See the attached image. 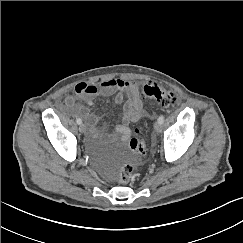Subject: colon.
<instances>
[{
	"label": "colon",
	"instance_id": "colon-1",
	"mask_svg": "<svg viewBox=\"0 0 243 243\" xmlns=\"http://www.w3.org/2000/svg\"><path fill=\"white\" fill-rule=\"evenodd\" d=\"M143 95L152 103L161 107L168 108L176 103V96L173 91L156 82H147L142 88ZM136 136L129 141L130 149L140 158L147 154V142L141 135L139 128L135 129ZM133 177V166L129 163L124 164L119 172L118 182L122 185L128 184Z\"/></svg>",
	"mask_w": 243,
	"mask_h": 243
}]
</instances>
